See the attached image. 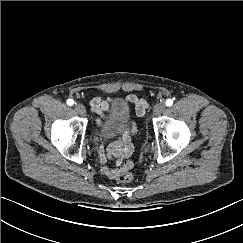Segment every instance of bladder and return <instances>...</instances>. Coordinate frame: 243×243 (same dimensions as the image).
Here are the masks:
<instances>
[{
    "label": "bladder",
    "instance_id": "bladder-1",
    "mask_svg": "<svg viewBox=\"0 0 243 243\" xmlns=\"http://www.w3.org/2000/svg\"><path fill=\"white\" fill-rule=\"evenodd\" d=\"M131 121L130 108L122 100L114 101L110 110L100 126L99 134L104 139H109L127 128Z\"/></svg>",
    "mask_w": 243,
    "mask_h": 243
}]
</instances>
